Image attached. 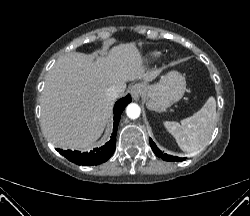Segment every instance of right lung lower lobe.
Here are the masks:
<instances>
[{
    "label": "right lung lower lobe",
    "instance_id": "obj_1",
    "mask_svg": "<svg viewBox=\"0 0 250 216\" xmlns=\"http://www.w3.org/2000/svg\"><path fill=\"white\" fill-rule=\"evenodd\" d=\"M131 102V96L127 95L126 97L120 99L115 103L114 106V127L113 135L109 142L100 148H95L92 151L81 153L79 151L71 150H61L57 151L70 160L73 163L78 165H97L107 161L113 154L116 147V131L118 123L120 121L121 114L124 108Z\"/></svg>",
    "mask_w": 250,
    "mask_h": 216
}]
</instances>
